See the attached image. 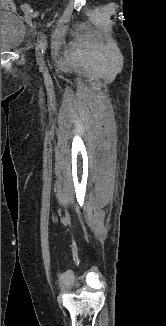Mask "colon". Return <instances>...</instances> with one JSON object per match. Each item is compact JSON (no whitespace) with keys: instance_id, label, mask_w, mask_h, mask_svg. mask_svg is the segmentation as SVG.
<instances>
[{"instance_id":"obj_1","label":"colon","mask_w":166,"mask_h":326,"mask_svg":"<svg viewBox=\"0 0 166 326\" xmlns=\"http://www.w3.org/2000/svg\"><path fill=\"white\" fill-rule=\"evenodd\" d=\"M21 9L27 19H31L35 15L34 10L27 4H23Z\"/></svg>"}]
</instances>
